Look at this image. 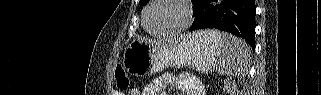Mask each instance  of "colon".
I'll list each match as a JSON object with an SVG mask.
<instances>
[{
	"instance_id": "1",
	"label": "colon",
	"mask_w": 321,
	"mask_h": 95,
	"mask_svg": "<svg viewBox=\"0 0 321 95\" xmlns=\"http://www.w3.org/2000/svg\"><path fill=\"white\" fill-rule=\"evenodd\" d=\"M114 75H115L117 87L120 90L127 89L129 86V78L125 69L122 66H119V65L116 66Z\"/></svg>"
}]
</instances>
